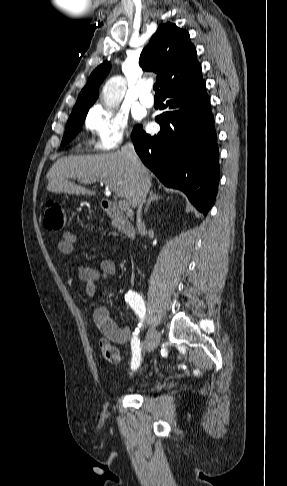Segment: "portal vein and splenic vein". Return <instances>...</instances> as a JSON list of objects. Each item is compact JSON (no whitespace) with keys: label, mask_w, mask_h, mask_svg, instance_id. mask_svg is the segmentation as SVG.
<instances>
[{"label":"portal vein and splenic vein","mask_w":287,"mask_h":486,"mask_svg":"<svg viewBox=\"0 0 287 486\" xmlns=\"http://www.w3.org/2000/svg\"><path fill=\"white\" fill-rule=\"evenodd\" d=\"M101 183H103V182H101ZM104 183L109 187V189L111 191H115V186L112 183H109V182H104ZM118 205H119V208L122 209V210H127L130 207L129 203L126 200H119Z\"/></svg>","instance_id":"1"}]
</instances>
